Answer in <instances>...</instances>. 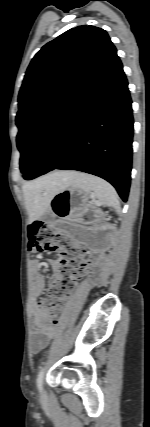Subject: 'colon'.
Listing matches in <instances>:
<instances>
[{"label": "colon", "instance_id": "5ec220e1", "mask_svg": "<svg viewBox=\"0 0 150 427\" xmlns=\"http://www.w3.org/2000/svg\"><path fill=\"white\" fill-rule=\"evenodd\" d=\"M28 249L33 254L57 251L62 256L48 296L40 302V308L47 311L53 322H56L63 302L85 271L86 250L72 243L65 233L54 231L41 221L34 222L29 228Z\"/></svg>", "mask_w": 150, "mask_h": 427}]
</instances>
